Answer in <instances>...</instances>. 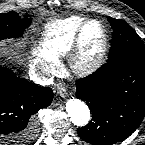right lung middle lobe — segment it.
I'll list each match as a JSON object with an SVG mask.
<instances>
[{"mask_svg": "<svg viewBox=\"0 0 145 145\" xmlns=\"http://www.w3.org/2000/svg\"><path fill=\"white\" fill-rule=\"evenodd\" d=\"M31 18H21L14 11L0 14V40L22 36Z\"/></svg>", "mask_w": 145, "mask_h": 145, "instance_id": "right-lung-middle-lobe-1", "label": "right lung middle lobe"}]
</instances>
